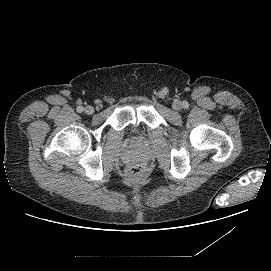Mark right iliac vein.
I'll return each mask as SVG.
<instances>
[{"instance_id": "63e3f726", "label": "right iliac vein", "mask_w": 271, "mask_h": 271, "mask_svg": "<svg viewBox=\"0 0 271 271\" xmlns=\"http://www.w3.org/2000/svg\"><path fill=\"white\" fill-rule=\"evenodd\" d=\"M84 112H85L86 114H88V115H91V114L94 113V108H93L92 106H86V107L84 108Z\"/></svg>"}]
</instances>
